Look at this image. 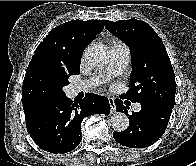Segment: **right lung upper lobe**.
Returning a JSON list of instances; mask_svg holds the SVG:
<instances>
[{
    "mask_svg": "<svg viewBox=\"0 0 196 166\" xmlns=\"http://www.w3.org/2000/svg\"><path fill=\"white\" fill-rule=\"evenodd\" d=\"M106 23L107 20H73L55 27L38 45L29 64L41 61L65 72H79L85 47Z\"/></svg>",
    "mask_w": 196,
    "mask_h": 166,
    "instance_id": "cb5924a9",
    "label": "right lung upper lobe"
}]
</instances>
